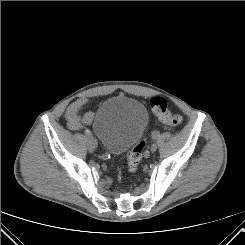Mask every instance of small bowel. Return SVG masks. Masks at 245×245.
<instances>
[{
	"label": "small bowel",
	"mask_w": 245,
	"mask_h": 245,
	"mask_svg": "<svg viewBox=\"0 0 245 245\" xmlns=\"http://www.w3.org/2000/svg\"><path fill=\"white\" fill-rule=\"evenodd\" d=\"M86 104V99H78L69 106L66 112V120L67 127L70 130H79L83 124H88L92 121L93 116L90 112L82 113Z\"/></svg>",
	"instance_id": "small-bowel-1"
}]
</instances>
